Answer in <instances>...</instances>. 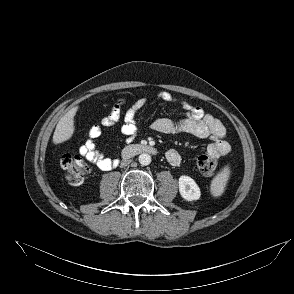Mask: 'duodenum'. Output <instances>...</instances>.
Returning <instances> with one entry per match:
<instances>
[{
  "mask_svg": "<svg viewBox=\"0 0 294 294\" xmlns=\"http://www.w3.org/2000/svg\"><path fill=\"white\" fill-rule=\"evenodd\" d=\"M156 150L154 147L146 145V144H133L130 146H127L123 152H122V157L123 159H129L137 154L140 153H150L153 154L155 153Z\"/></svg>",
  "mask_w": 294,
  "mask_h": 294,
  "instance_id": "1",
  "label": "duodenum"
}]
</instances>
